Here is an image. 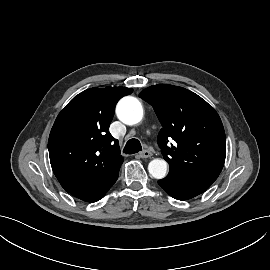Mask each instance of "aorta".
Listing matches in <instances>:
<instances>
[{"instance_id":"1","label":"aorta","mask_w":270,"mask_h":270,"mask_svg":"<svg viewBox=\"0 0 270 270\" xmlns=\"http://www.w3.org/2000/svg\"><path fill=\"white\" fill-rule=\"evenodd\" d=\"M117 117L127 125H135L143 118V108L135 97L127 96L117 104ZM150 175L156 179H163L167 173V162L163 159H154L148 165Z\"/></svg>"}]
</instances>
